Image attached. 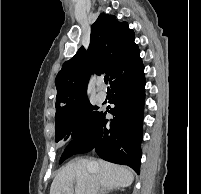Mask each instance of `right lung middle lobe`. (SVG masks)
<instances>
[{
    "mask_svg": "<svg viewBox=\"0 0 201 194\" xmlns=\"http://www.w3.org/2000/svg\"><path fill=\"white\" fill-rule=\"evenodd\" d=\"M100 113L98 107L91 105L88 100L83 102L69 115L55 119L56 142L61 140L66 141L70 137L75 139L83 135L96 121ZM73 155L74 153L71 151L63 153L60 163Z\"/></svg>",
    "mask_w": 201,
    "mask_h": 194,
    "instance_id": "right-lung-middle-lobe-1",
    "label": "right lung middle lobe"
}]
</instances>
